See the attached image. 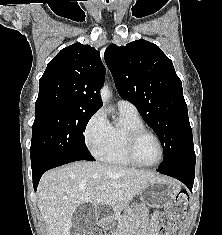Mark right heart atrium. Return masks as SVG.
Here are the masks:
<instances>
[{
    "label": "right heart atrium",
    "mask_w": 222,
    "mask_h": 235,
    "mask_svg": "<svg viewBox=\"0 0 222 235\" xmlns=\"http://www.w3.org/2000/svg\"><path fill=\"white\" fill-rule=\"evenodd\" d=\"M109 122L103 110L93 113L84 129V141L89 151L98 156L108 140Z\"/></svg>",
    "instance_id": "right-heart-atrium-1"
}]
</instances>
